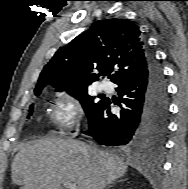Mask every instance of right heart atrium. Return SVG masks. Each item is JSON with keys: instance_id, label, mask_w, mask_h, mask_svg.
<instances>
[{"instance_id": "d8ad5b80", "label": "right heart atrium", "mask_w": 188, "mask_h": 189, "mask_svg": "<svg viewBox=\"0 0 188 189\" xmlns=\"http://www.w3.org/2000/svg\"><path fill=\"white\" fill-rule=\"evenodd\" d=\"M82 110L77 101L72 97H60L53 109V119L54 121L62 127H72L74 126L80 116Z\"/></svg>"}]
</instances>
